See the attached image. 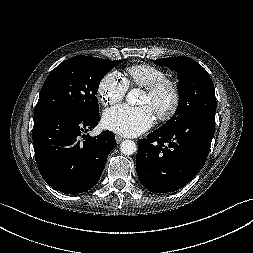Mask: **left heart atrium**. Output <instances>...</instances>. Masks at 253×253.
I'll return each instance as SVG.
<instances>
[{"label":"left heart atrium","mask_w":253,"mask_h":253,"mask_svg":"<svg viewBox=\"0 0 253 253\" xmlns=\"http://www.w3.org/2000/svg\"><path fill=\"white\" fill-rule=\"evenodd\" d=\"M154 120V110L149 105L141 107L120 105L104 112L102 124L117 134L133 137L149 129Z\"/></svg>","instance_id":"39dd6f15"}]
</instances>
